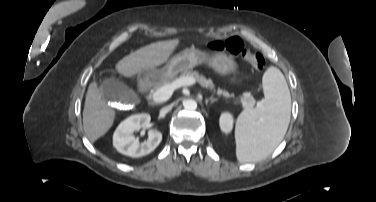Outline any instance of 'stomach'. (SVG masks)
Listing matches in <instances>:
<instances>
[{"mask_svg": "<svg viewBox=\"0 0 376 202\" xmlns=\"http://www.w3.org/2000/svg\"><path fill=\"white\" fill-rule=\"evenodd\" d=\"M203 63H206L208 67L220 75H225L235 66L233 58L224 53L207 54L191 47L173 56L162 69H146L140 72V75L144 78L168 77L173 79L178 74Z\"/></svg>", "mask_w": 376, "mask_h": 202, "instance_id": "obj_1", "label": "stomach"}]
</instances>
